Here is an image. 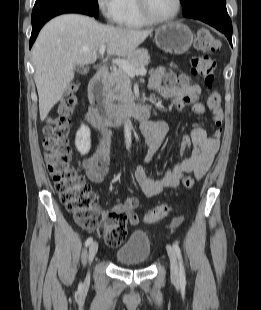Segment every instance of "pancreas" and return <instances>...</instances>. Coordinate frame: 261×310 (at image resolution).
I'll use <instances>...</instances> for the list:
<instances>
[{"label": "pancreas", "instance_id": "obj_1", "mask_svg": "<svg viewBox=\"0 0 261 310\" xmlns=\"http://www.w3.org/2000/svg\"><path fill=\"white\" fill-rule=\"evenodd\" d=\"M126 60L136 68L148 65L150 57L147 50L139 49L127 55ZM156 76H152L155 78ZM109 92L113 99L125 103H132L134 95L128 74L119 68H114L108 76Z\"/></svg>", "mask_w": 261, "mask_h": 310}]
</instances>
